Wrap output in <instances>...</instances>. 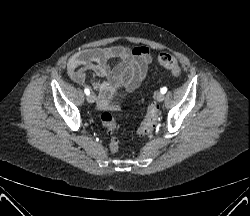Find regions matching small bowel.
I'll list each match as a JSON object with an SVG mask.
<instances>
[{
  "label": "small bowel",
  "instance_id": "1",
  "mask_svg": "<svg viewBox=\"0 0 250 216\" xmlns=\"http://www.w3.org/2000/svg\"><path fill=\"white\" fill-rule=\"evenodd\" d=\"M117 63L111 66V61ZM152 61L151 51L146 46L129 48L121 45L107 48L84 49L75 53L68 62L67 73L75 83L90 87L98 106L106 107L121 89L132 92L144 80ZM86 70H92L103 82H86Z\"/></svg>",
  "mask_w": 250,
  "mask_h": 216
}]
</instances>
